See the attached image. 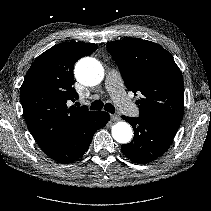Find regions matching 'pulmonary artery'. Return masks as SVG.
Segmentation results:
<instances>
[{
  "label": "pulmonary artery",
  "mask_w": 211,
  "mask_h": 211,
  "mask_svg": "<svg viewBox=\"0 0 211 211\" xmlns=\"http://www.w3.org/2000/svg\"><path fill=\"white\" fill-rule=\"evenodd\" d=\"M106 88L118 108L127 115H137L138 108L130 101L125 92V86L120 74L111 70L106 76Z\"/></svg>",
  "instance_id": "1"
}]
</instances>
